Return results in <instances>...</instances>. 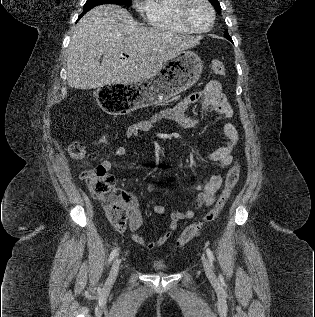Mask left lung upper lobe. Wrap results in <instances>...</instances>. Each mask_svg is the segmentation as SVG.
Returning <instances> with one entry per match:
<instances>
[{
	"label": "left lung upper lobe",
	"mask_w": 315,
	"mask_h": 317,
	"mask_svg": "<svg viewBox=\"0 0 315 317\" xmlns=\"http://www.w3.org/2000/svg\"><path fill=\"white\" fill-rule=\"evenodd\" d=\"M210 3L214 6V8L216 9L217 13L220 14L221 12V7H220V4L218 2V0H209ZM224 37L227 38V39H230V41H232L231 37L229 36L228 34V31L226 30L225 33H224Z\"/></svg>",
	"instance_id": "5c2ea615"
}]
</instances>
